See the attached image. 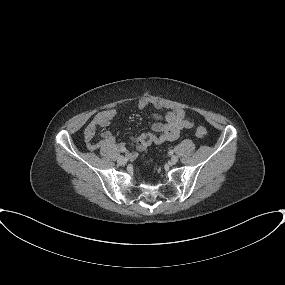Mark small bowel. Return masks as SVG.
Segmentation results:
<instances>
[{"label":"small bowel","mask_w":285,"mask_h":285,"mask_svg":"<svg viewBox=\"0 0 285 285\" xmlns=\"http://www.w3.org/2000/svg\"><path fill=\"white\" fill-rule=\"evenodd\" d=\"M153 105L157 109H164L165 106L159 101L149 98H142L138 102L139 109H144ZM115 109H106L98 112L88 123L84 131L86 146L91 151L100 148L117 147L120 151L126 149L124 144H116L115 136L108 130L101 133V140L95 141V135L99 127H107L115 118ZM154 122L150 125L151 132L142 133L130 139V144L134 148L131 156L144 151L152 144H162L174 141L179 137L182 129L191 128L193 123L181 109L167 110L164 114H152ZM164 121V122H161Z\"/></svg>","instance_id":"c3829d8e"}]
</instances>
